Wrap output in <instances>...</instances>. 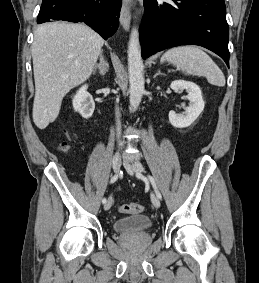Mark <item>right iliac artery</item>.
<instances>
[{
  "label": "right iliac artery",
  "instance_id": "right-iliac-artery-1",
  "mask_svg": "<svg viewBox=\"0 0 259 283\" xmlns=\"http://www.w3.org/2000/svg\"><path fill=\"white\" fill-rule=\"evenodd\" d=\"M120 174H122V171H120L118 174L114 175L111 180H110V183H114L117 181L118 177L120 176ZM107 202L106 198H103L102 199V203L105 204Z\"/></svg>",
  "mask_w": 259,
  "mask_h": 283
}]
</instances>
